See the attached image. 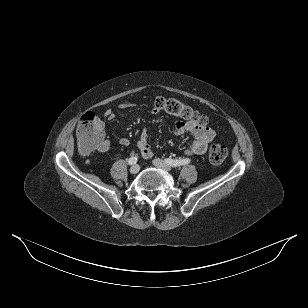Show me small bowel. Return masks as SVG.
Returning <instances> with one entry per match:
<instances>
[{
	"instance_id": "c3829d8e",
	"label": "small bowel",
	"mask_w": 308,
	"mask_h": 308,
	"mask_svg": "<svg viewBox=\"0 0 308 308\" xmlns=\"http://www.w3.org/2000/svg\"><path fill=\"white\" fill-rule=\"evenodd\" d=\"M118 107L120 109L134 108L135 103L129 100H124L118 105ZM154 112L157 111L154 109ZM104 117L107 120H113L115 119L116 114L113 110L107 109L104 112ZM99 122L104 130L103 121L99 119ZM173 133L174 135H183L185 133L192 135L193 140L189 148L186 150V155L188 156L203 155L207 151L209 144L212 143L215 139V132L213 129L189 121H177L174 126ZM119 143L121 146H128L130 144V139L128 137H123L119 140ZM137 147L143 158L148 159L152 156V150L148 142V133L146 128H142L139 133ZM109 148L110 141L103 137V141L97 150L106 152L109 150Z\"/></svg>"
}]
</instances>
